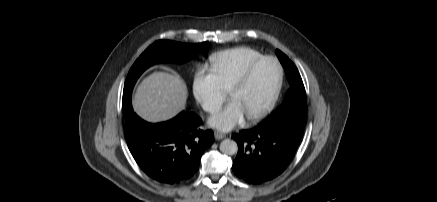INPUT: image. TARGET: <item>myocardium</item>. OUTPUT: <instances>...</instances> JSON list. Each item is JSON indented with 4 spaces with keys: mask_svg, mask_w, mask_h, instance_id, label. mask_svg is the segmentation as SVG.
Listing matches in <instances>:
<instances>
[{
    "mask_svg": "<svg viewBox=\"0 0 437 202\" xmlns=\"http://www.w3.org/2000/svg\"><path fill=\"white\" fill-rule=\"evenodd\" d=\"M264 61H273L277 65L278 77H277V81H276V84L274 86L273 92L271 94V97L268 100V102L266 103V105L261 110H259L257 113L247 117V120L250 123L257 122V121L263 119L265 116H267L271 112V110L274 108V106L278 100V97H279V94H280V91L282 88L283 77H284V71H283V67H282L280 61L274 56H262L258 59L253 60L245 68L243 73L234 82V84L232 85V87L229 90V96L231 97L234 92H236L237 90H239L240 88H242L244 85L247 84V82L250 80L256 67Z\"/></svg>",
    "mask_w": 437,
    "mask_h": 202,
    "instance_id": "obj_1",
    "label": "myocardium"
}]
</instances>
